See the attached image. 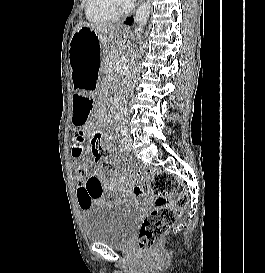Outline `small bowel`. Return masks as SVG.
Here are the masks:
<instances>
[{
  "label": "small bowel",
  "instance_id": "1",
  "mask_svg": "<svg viewBox=\"0 0 265 273\" xmlns=\"http://www.w3.org/2000/svg\"><path fill=\"white\" fill-rule=\"evenodd\" d=\"M72 99L74 104L70 105V123L79 128L71 139V155L75 161L79 181L78 205L84 211L93 205L111 204V199H107L108 193L121 201L128 193L127 178L112 172V176L106 178L101 168L92 165L93 161L86 152L85 135L92 132L94 127L84 124L87 123L86 115L89 108L93 107V104L89 103L93 98L88 95H73Z\"/></svg>",
  "mask_w": 265,
  "mask_h": 273
}]
</instances>
